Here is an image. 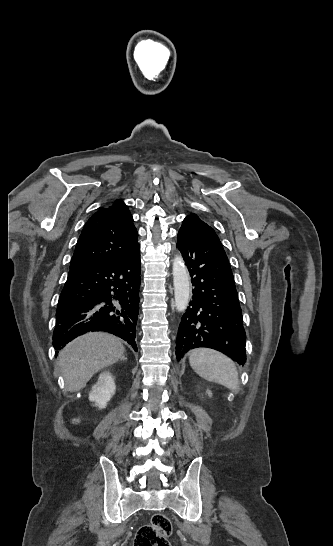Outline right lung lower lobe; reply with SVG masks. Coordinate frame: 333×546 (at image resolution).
Here are the masks:
<instances>
[{
    "label": "right lung lower lobe",
    "mask_w": 333,
    "mask_h": 546,
    "mask_svg": "<svg viewBox=\"0 0 333 546\" xmlns=\"http://www.w3.org/2000/svg\"><path fill=\"white\" fill-rule=\"evenodd\" d=\"M139 249L138 245L129 254L108 263L70 269L56 311V350L84 333L104 331L127 341L137 351Z\"/></svg>",
    "instance_id": "right-lung-lower-lobe-1"
}]
</instances>
